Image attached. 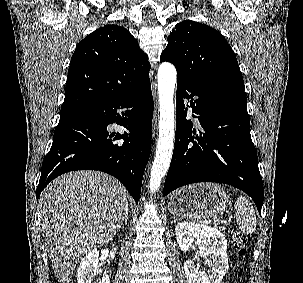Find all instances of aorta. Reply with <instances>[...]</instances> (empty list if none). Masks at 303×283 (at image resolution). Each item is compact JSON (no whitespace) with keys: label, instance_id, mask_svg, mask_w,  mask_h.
Segmentation results:
<instances>
[{"label":"aorta","instance_id":"aorta-1","mask_svg":"<svg viewBox=\"0 0 303 283\" xmlns=\"http://www.w3.org/2000/svg\"><path fill=\"white\" fill-rule=\"evenodd\" d=\"M177 79L175 67L164 62L158 69V93L160 106L159 138L150 174V193L154 194L170 166L174 148V90Z\"/></svg>","mask_w":303,"mask_h":283}]
</instances>
